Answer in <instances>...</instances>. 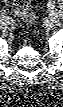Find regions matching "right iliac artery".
Listing matches in <instances>:
<instances>
[{
    "instance_id": "right-iliac-artery-1",
    "label": "right iliac artery",
    "mask_w": 63,
    "mask_h": 107,
    "mask_svg": "<svg viewBox=\"0 0 63 107\" xmlns=\"http://www.w3.org/2000/svg\"><path fill=\"white\" fill-rule=\"evenodd\" d=\"M11 19V17H5V21L7 22V21H9ZM2 20H4V17H2ZM2 20H1V22H2Z\"/></svg>"
}]
</instances>
